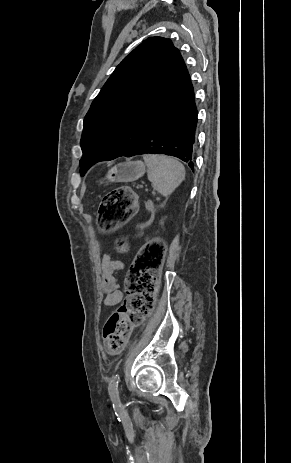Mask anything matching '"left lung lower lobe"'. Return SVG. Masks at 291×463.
<instances>
[{
    "label": "left lung lower lobe",
    "instance_id": "left-lung-lower-lobe-1",
    "mask_svg": "<svg viewBox=\"0 0 291 463\" xmlns=\"http://www.w3.org/2000/svg\"><path fill=\"white\" fill-rule=\"evenodd\" d=\"M196 127L197 108L190 83L142 139L121 156L165 154L181 159L193 170Z\"/></svg>",
    "mask_w": 291,
    "mask_h": 463
}]
</instances>
